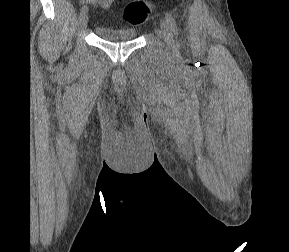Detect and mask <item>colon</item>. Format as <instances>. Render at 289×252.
Instances as JSON below:
<instances>
[{
    "label": "colon",
    "instance_id": "obj_1",
    "mask_svg": "<svg viewBox=\"0 0 289 252\" xmlns=\"http://www.w3.org/2000/svg\"><path fill=\"white\" fill-rule=\"evenodd\" d=\"M153 12V6L146 0H133L128 3L123 12V21L130 25H141L148 20Z\"/></svg>",
    "mask_w": 289,
    "mask_h": 252
}]
</instances>
